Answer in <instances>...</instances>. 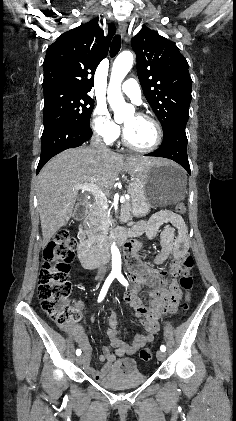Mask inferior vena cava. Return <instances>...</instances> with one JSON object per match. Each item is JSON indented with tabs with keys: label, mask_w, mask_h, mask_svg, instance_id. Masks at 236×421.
<instances>
[{
	"label": "inferior vena cava",
	"mask_w": 236,
	"mask_h": 421,
	"mask_svg": "<svg viewBox=\"0 0 236 421\" xmlns=\"http://www.w3.org/2000/svg\"><path fill=\"white\" fill-rule=\"evenodd\" d=\"M91 146L92 148H98V150H104V152H108L109 148H107L106 144H104V142H101V138L99 136V134H97V132H94L92 138H91ZM105 269H107V267H101L100 271H105Z\"/></svg>",
	"instance_id": "obj_1"
}]
</instances>
